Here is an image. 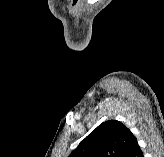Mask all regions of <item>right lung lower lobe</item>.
I'll use <instances>...</instances> for the list:
<instances>
[{
	"instance_id": "98d812e1",
	"label": "right lung lower lobe",
	"mask_w": 164,
	"mask_h": 157,
	"mask_svg": "<svg viewBox=\"0 0 164 157\" xmlns=\"http://www.w3.org/2000/svg\"><path fill=\"white\" fill-rule=\"evenodd\" d=\"M126 157H143V153L137 142L133 145Z\"/></svg>"
}]
</instances>
